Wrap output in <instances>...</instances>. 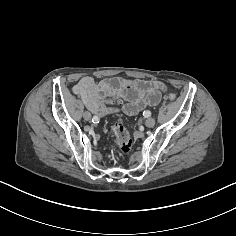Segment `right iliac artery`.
Here are the masks:
<instances>
[{"label": "right iliac artery", "mask_w": 236, "mask_h": 236, "mask_svg": "<svg viewBox=\"0 0 236 236\" xmlns=\"http://www.w3.org/2000/svg\"><path fill=\"white\" fill-rule=\"evenodd\" d=\"M98 120H99V118H98L97 116H94L93 119H92V121H93L94 123L98 122Z\"/></svg>", "instance_id": "82829eb1"}]
</instances>
